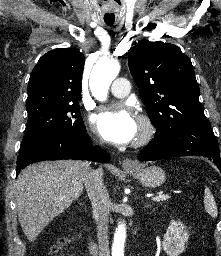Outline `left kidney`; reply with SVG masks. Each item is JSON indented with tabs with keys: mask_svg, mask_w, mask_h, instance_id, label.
Wrapping results in <instances>:
<instances>
[{
	"mask_svg": "<svg viewBox=\"0 0 221 256\" xmlns=\"http://www.w3.org/2000/svg\"><path fill=\"white\" fill-rule=\"evenodd\" d=\"M189 236L181 222L171 221L164 235L163 250L169 256H178L185 250V243Z\"/></svg>",
	"mask_w": 221,
	"mask_h": 256,
	"instance_id": "obj_1",
	"label": "left kidney"
}]
</instances>
